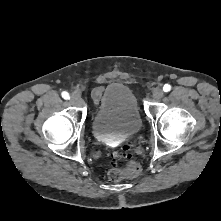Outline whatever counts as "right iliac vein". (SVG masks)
Here are the masks:
<instances>
[{
	"label": "right iliac vein",
	"instance_id": "63e3f726",
	"mask_svg": "<svg viewBox=\"0 0 221 221\" xmlns=\"http://www.w3.org/2000/svg\"><path fill=\"white\" fill-rule=\"evenodd\" d=\"M70 102L73 104V105H76V106H82L83 105V100L82 98L77 95V94H73L70 98Z\"/></svg>",
	"mask_w": 221,
	"mask_h": 221
}]
</instances>
